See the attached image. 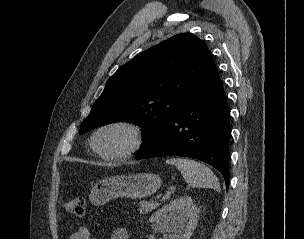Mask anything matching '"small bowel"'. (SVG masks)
I'll return each instance as SVG.
<instances>
[{
    "label": "small bowel",
    "mask_w": 304,
    "mask_h": 239,
    "mask_svg": "<svg viewBox=\"0 0 304 239\" xmlns=\"http://www.w3.org/2000/svg\"><path fill=\"white\" fill-rule=\"evenodd\" d=\"M128 231L126 229H118L112 233L109 239H128ZM91 233L88 228L80 227L74 231L69 239H90Z\"/></svg>",
    "instance_id": "small-bowel-1"
}]
</instances>
